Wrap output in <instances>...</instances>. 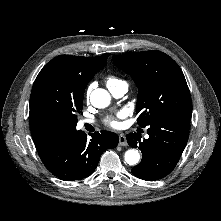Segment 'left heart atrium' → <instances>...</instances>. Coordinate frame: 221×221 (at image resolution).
I'll use <instances>...</instances> for the list:
<instances>
[{
	"instance_id": "obj_1",
	"label": "left heart atrium",
	"mask_w": 221,
	"mask_h": 221,
	"mask_svg": "<svg viewBox=\"0 0 221 221\" xmlns=\"http://www.w3.org/2000/svg\"><path fill=\"white\" fill-rule=\"evenodd\" d=\"M120 116H122V114H120ZM107 124L113 128L119 127V122L115 118H109Z\"/></svg>"
}]
</instances>
